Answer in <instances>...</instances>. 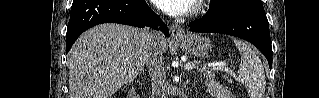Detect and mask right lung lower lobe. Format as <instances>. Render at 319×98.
Masks as SVG:
<instances>
[{
	"mask_svg": "<svg viewBox=\"0 0 319 98\" xmlns=\"http://www.w3.org/2000/svg\"><path fill=\"white\" fill-rule=\"evenodd\" d=\"M158 21L166 36L169 31L145 0H74L66 34V53L85 30L101 23H120L157 29Z\"/></svg>",
	"mask_w": 319,
	"mask_h": 98,
	"instance_id": "right-lung-lower-lobe-1",
	"label": "right lung lower lobe"
}]
</instances>
